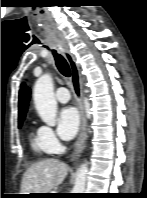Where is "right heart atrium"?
Masks as SVG:
<instances>
[{"mask_svg":"<svg viewBox=\"0 0 147 198\" xmlns=\"http://www.w3.org/2000/svg\"><path fill=\"white\" fill-rule=\"evenodd\" d=\"M39 134L42 144L48 153H55L60 147V141L54 130L46 125L39 128Z\"/></svg>","mask_w":147,"mask_h":198,"instance_id":"1","label":"right heart atrium"}]
</instances>
